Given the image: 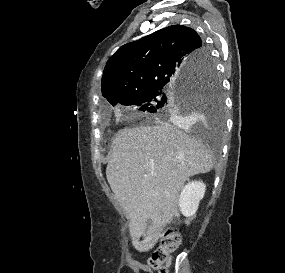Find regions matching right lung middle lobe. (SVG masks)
I'll return each mask as SVG.
<instances>
[{"label": "right lung middle lobe", "mask_w": 285, "mask_h": 273, "mask_svg": "<svg viewBox=\"0 0 285 273\" xmlns=\"http://www.w3.org/2000/svg\"><path fill=\"white\" fill-rule=\"evenodd\" d=\"M205 60L203 70L189 75L187 83L180 81L172 85H159L140 92L121 104L136 105L143 112L172 119L204 110L213 116L216 131L220 133L223 128L222 86L208 50Z\"/></svg>", "instance_id": "right-lung-middle-lobe-1"}]
</instances>
